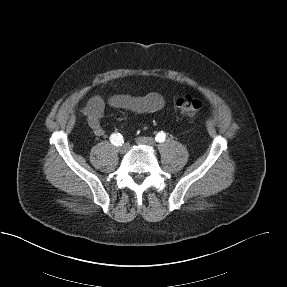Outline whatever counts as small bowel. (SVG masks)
Listing matches in <instances>:
<instances>
[{
  "mask_svg": "<svg viewBox=\"0 0 287 287\" xmlns=\"http://www.w3.org/2000/svg\"><path fill=\"white\" fill-rule=\"evenodd\" d=\"M109 105L116 109L128 110L138 114L155 113L163 109L165 102L158 93L146 95L118 94L112 96ZM105 101L100 96L92 97L86 107L85 116L89 127L95 136L104 135L105 131L101 120L105 111Z\"/></svg>",
  "mask_w": 287,
  "mask_h": 287,
  "instance_id": "small-bowel-1",
  "label": "small bowel"
}]
</instances>
